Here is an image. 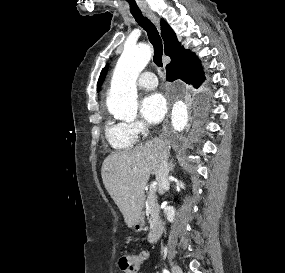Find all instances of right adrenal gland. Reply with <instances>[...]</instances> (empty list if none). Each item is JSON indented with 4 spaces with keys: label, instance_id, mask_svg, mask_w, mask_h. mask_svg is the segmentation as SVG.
Here are the masks:
<instances>
[{
    "label": "right adrenal gland",
    "instance_id": "obj_1",
    "mask_svg": "<svg viewBox=\"0 0 285 273\" xmlns=\"http://www.w3.org/2000/svg\"><path fill=\"white\" fill-rule=\"evenodd\" d=\"M174 168V165L172 164V162H170V170L172 171Z\"/></svg>",
    "mask_w": 285,
    "mask_h": 273
}]
</instances>
